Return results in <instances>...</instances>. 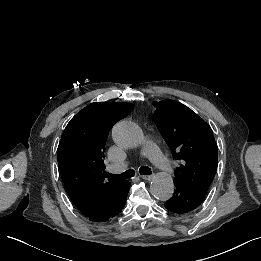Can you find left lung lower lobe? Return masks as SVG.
Returning <instances> with one entry per match:
<instances>
[{
  "mask_svg": "<svg viewBox=\"0 0 261 261\" xmlns=\"http://www.w3.org/2000/svg\"><path fill=\"white\" fill-rule=\"evenodd\" d=\"M205 193L180 182H175L173 197L166 201L165 208L173 213H187L196 209L203 201Z\"/></svg>",
  "mask_w": 261,
  "mask_h": 261,
  "instance_id": "obj_1",
  "label": "left lung lower lobe"
}]
</instances>
